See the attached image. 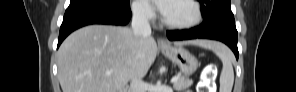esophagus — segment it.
<instances>
[{
    "label": "esophagus",
    "instance_id": "34e87169",
    "mask_svg": "<svg viewBox=\"0 0 296 92\" xmlns=\"http://www.w3.org/2000/svg\"><path fill=\"white\" fill-rule=\"evenodd\" d=\"M158 44L161 46V47H168L169 44L163 39V38H159L158 39Z\"/></svg>",
    "mask_w": 296,
    "mask_h": 92
}]
</instances>
